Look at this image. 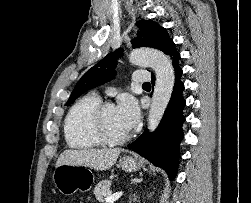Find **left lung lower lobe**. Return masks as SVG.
<instances>
[{
    "label": "left lung lower lobe",
    "instance_id": "obj_1",
    "mask_svg": "<svg viewBox=\"0 0 251 203\" xmlns=\"http://www.w3.org/2000/svg\"><path fill=\"white\" fill-rule=\"evenodd\" d=\"M170 56L175 72V84L171 100L165 111L160 126L154 133H149L146 129L144 133L128 147L148 159L154 165L163 168L170 180L176 176L179 157V144L184 136L183 109L185 99L182 96L184 83L181 81L182 69L179 66L180 54L176 50L172 41L164 52ZM152 85L155 83L152 74Z\"/></svg>",
    "mask_w": 251,
    "mask_h": 203
}]
</instances>
